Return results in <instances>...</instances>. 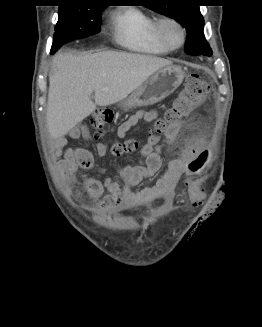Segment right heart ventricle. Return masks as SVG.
<instances>
[{"label": "right heart ventricle", "instance_id": "e07e8e85", "mask_svg": "<svg viewBox=\"0 0 262 327\" xmlns=\"http://www.w3.org/2000/svg\"><path fill=\"white\" fill-rule=\"evenodd\" d=\"M157 18L136 8L119 10L113 18L114 40L121 47L144 54L164 55L172 49L159 38Z\"/></svg>", "mask_w": 262, "mask_h": 327}]
</instances>
